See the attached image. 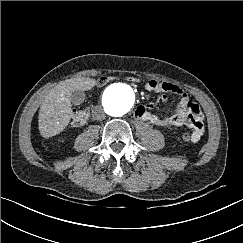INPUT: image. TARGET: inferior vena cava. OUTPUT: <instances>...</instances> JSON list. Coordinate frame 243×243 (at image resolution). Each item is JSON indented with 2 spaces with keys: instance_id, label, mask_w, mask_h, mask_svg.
<instances>
[{
  "instance_id": "1",
  "label": "inferior vena cava",
  "mask_w": 243,
  "mask_h": 243,
  "mask_svg": "<svg viewBox=\"0 0 243 243\" xmlns=\"http://www.w3.org/2000/svg\"><path fill=\"white\" fill-rule=\"evenodd\" d=\"M92 116L95 120H99V121H102L106 118V114L101 107H96L92 111Z\"/></svg>"
}]
</instances>
